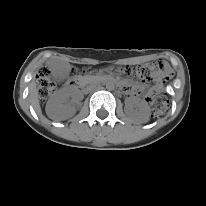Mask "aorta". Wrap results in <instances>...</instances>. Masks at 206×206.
Listing matches in <instances>:
<instances>
[{
	"label": "aorta",
	"instance_id": "obj_1",
	"mask_svg": "<svg viewBox=\"0 0 206 206\" xmlns=\"http://www.w3.org/2000/svg\"><path fill=\"white\" fill-rule=\"evenodd\" d=\"M114 88H115V85H114V83L112 81H108L106 83V89L107 90L112 91V90H114Z\"/></svg>",
	"mask_w": 206,
	"mask_h": 206
}]
</instances>
